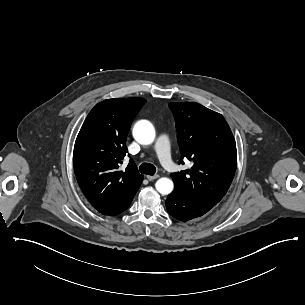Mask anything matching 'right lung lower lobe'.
Returning <instances> with one entry per match:
<instances>
[{"label":"right lung lower lobe","mask_w":305,"mask_h":305,"mask_svg":"<svg viewBox=\"0 0 305 305\" xmlns=\"http://www.w3.org/2000/svg\"><path fill=\"white\" fill-rule=\"evenodd\" d=\"M134 195L131 198H129L127 201H125L123 204L119 205L118 207L113 208L111 210H108L107 212L102 213V214H104V215H117V214H120L121 212L125 211L129 207V205L132 202V199H133Z\"/></svg>","instance_id":"1"}]
</instances>
